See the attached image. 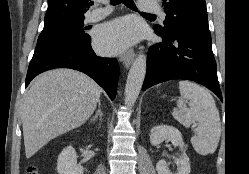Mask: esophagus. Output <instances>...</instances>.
<instances>
[{
  "mask_svg": "<svg viewBox=\"0 0 249 174\" xmlns=\"http://www.w3.org/2000/svg\"><path fill=\"white\" fill-rule=\"evenodd\" d=\"M134 57H135V52L134 50L130 49L125 54L121 55L119 59L124 64V66L128 68L133 62Z\"/></svg>",
  "mask_w": 249,
  "mask_h": 174,
  "instance_id": "esophagus-1",
  "label": "esophagus"
}]
</instances>
